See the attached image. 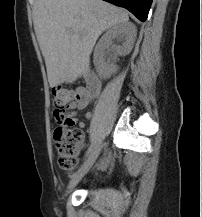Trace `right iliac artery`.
<instances>
[{
  "instance_id": "right-iliac-artery-1",
  "label": "right iliac artery",
  "mask_w": 202,
  "mask_h": 217,
  "mask_svg": "<svg viewBox=\"0 0 202 217\" xmlns=\"http://www.w3.org/2000/svg\"><path fill=\"white\" fill-rule=\"evenodd\" d=\"M93 150H94V144H91L85 154V158H87L93 152Z\"/></svg>"
}]
</instances>
